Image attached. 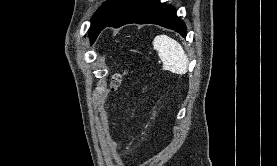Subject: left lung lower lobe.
Returning a JSON list of instances; mask_svg holds the SVG:
<instances>
[{
  "label": "left lung lower lobe",
  "instance_id": "obj_1",
  "mask_svg": "<svg viewBox=\"0 0 277 166\" xmlns=\"http://www.w3.org/2000/svg\"><path fill=\"white\" fill-rule=\"evenodd\" d=\"M129 23L157 24L175 30L186 37L184 22L177 17L175 9L160 0H135L104 26L120 27ZM103 28V29H104Z\"/></svg>",
  "mask_w": 277,
  "mask_h": 166
}]
</instances>
